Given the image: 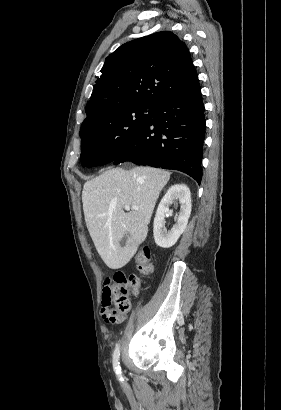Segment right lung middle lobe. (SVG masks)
Here are the masks:
<instances>
[{
    "label": "right lung middle lobe",
    "mask_w": 281,
    "mask_h": 410,
    "mask_svg": "<svg viewBox=\"0 0 281 410\" xmlns=\"http://www.w3.org/2000/svg\"><path fill=\"white\" fill-rule=\"evenodd\" d=\"M152 110L146 105L124 106L82 123V165L92 167L114 161L151 120Z\"/></svg>",
    "instance_id": "dd1d6c3e"
}]
</instances>
